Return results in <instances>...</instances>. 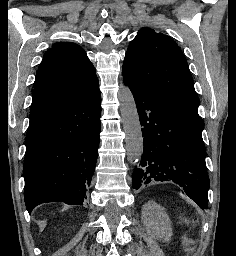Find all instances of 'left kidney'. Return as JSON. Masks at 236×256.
Here are the masks:
<instances>
[{
    "label": "left kidney",
    "mask_w": 236,
    "mask_h": 256,
    "mask_svg": "<svg viewBox=\"0 0 236 256\" xmlns=\"http://www.w3.org/2000/svg\"><path fill=\"white\" fill-rule=\"evenodd\" d=\"M142 222L144 228L155 240L169 242L172 236L171 222L162 206L156 202H147L142 208Z\"/></svg>",
    "instance_id": "obj_1"
}]
</instances>
